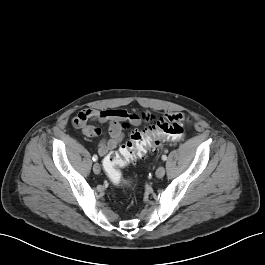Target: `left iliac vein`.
<instances>
[{
  "label": "left iliac vein",
  "mask_w": 265,
  "mask_h": 265,
  "mask_svg": "<svg viewBox=\"0 0 265 265\" xmlns=\"http://www.w3.org/2000/svg\"><path fill=\"white\" fill-rule=\"evenodd\" d=\"M155 174L157 178H162L165 175V168L163 166L158 167Z\"/></svg>",
  "instance_id": "obj_1"
}]
</instances>
